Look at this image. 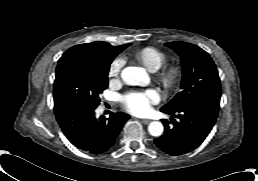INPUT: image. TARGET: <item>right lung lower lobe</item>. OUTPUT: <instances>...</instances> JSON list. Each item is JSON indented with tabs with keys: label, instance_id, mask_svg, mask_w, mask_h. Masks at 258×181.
Returning a JSON list of instances; mask_svg holds the SVG:
<instances>
[{
	"label": "right lung lower lobe",
	"instance_id": "obj_1",
	"mask_svg": "<svg viewBox=\"0 0 258 181\" xmlns=\"http://www.w3.org/2000/svg\"><path fill=\"white\" fill-rule=\"evenodd\" d=\"M94 110L73 103L54 107L56 119L68 140L83 151L100 154L114 145L130 117L123 113H112L108 119H96Z\"/></svg>",
	"mask_w": 258,
	"mask_h": 181
}]
</instances>
